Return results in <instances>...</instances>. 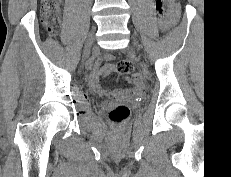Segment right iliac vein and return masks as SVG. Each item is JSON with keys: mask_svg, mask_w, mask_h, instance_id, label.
<instances>
[{"mask_svg": "<svg viewBox=\"0 0 231 177\" xmlns=\"http://www.w3.org/2000/svg\"><path fill=\"white\" fill-rule=\"evenodd\" d=\"M91 40H92V39H90V42H91ZM89 47H90V43H89V45H88V47H87V50L89 49Z\"/></svg>", "mask_w": 231, "mask_h": 177, "instance_id": "obj_1", "label": "right iliac vein"}]
</instances>
